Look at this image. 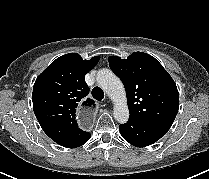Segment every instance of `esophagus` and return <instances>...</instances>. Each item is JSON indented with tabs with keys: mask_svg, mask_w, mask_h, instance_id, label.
I'll return each mask as SVG.
<instances>
[{
	"mask_svg": "<svg viewBox=\"0 0 209 179\" xmlns=\"http://www.w3.org/2000/svg\"><path fill=\"white\" fill-rule=\"evenodd\" d=\"M96 101L93 98H84L75 111L76 124L80 128H88L96 117Z\"/></svg>",
	"mask_w": 209,
	"mask_h": 179,
	"instance_id": "esophagus-1",
	"label": "esophagus"
}]
</instances>
